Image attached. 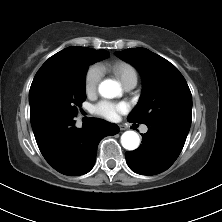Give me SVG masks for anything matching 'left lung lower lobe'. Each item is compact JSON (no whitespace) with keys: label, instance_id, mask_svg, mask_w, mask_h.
I'll return each mask as SVG.
<instances>
[{"label":"left lung lower lobe","instance_id":"left-lung-lower-lobe-1","mask_svg":"<svg viewBox=\"0 0 222 222\" xmlns=\"http://www.w3.org/2000/svg\"><path fill=\"white\" fill-rule=\"evenodd\" d=\"M146 125L148 132L142 134L140 147L126 152L125 156L132 171L141 175H155L167 170L175 162L182 151L190 128L182 121L174 119L160 120Z\"/></svg>","mask_w":222,"mask_h":222}]
</instances>
